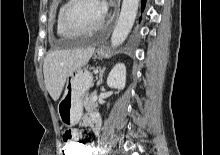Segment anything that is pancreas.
Wrapping results in <instances>:
<instances>
[{"label": "pancreas", "mask_w": 220, "mask_h": 155, "mask_svg": "<svg viewBox=\"0 0 220 155\" xmlns=\"http://www.w3.org/2000/svg\"><path fill=\"white\" fill-rule=\"evenodd\" d=\"M93 96V94H90L84 97L83 104L87 112L93 111L98 107V103L93 101Z\"/></svg>", "instance_id": "pancreas-1"}]
</instances>
